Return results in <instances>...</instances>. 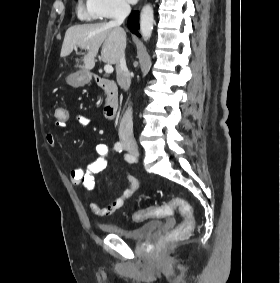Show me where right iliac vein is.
<instances>
[{"label": "right iliac vein", "instance_id": "63e3f726", "mask_svg": "<svg viewBox=\"0 0 280 283\" xmlns=\"http://www.w3.org/2000/svg\"><path fill=\"white\" fill-rule=\"evenodd\" d=\"M130 150H134V148H130Z\"/></svg>", "mask_w": 280, "mask_h": 283}]
</instances>
